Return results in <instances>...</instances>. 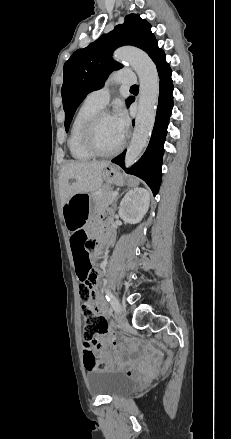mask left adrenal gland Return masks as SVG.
Masks as SVG:
<instances>
[{
    "label": "left adrenal gland",
    "instance_id": "obj_1",
    "mask_svg": "<svg viewBox=\"0 0 231 439\" xmlns=\"http://www.w3.org/2000/svg\"><path fill=\"white\" fill-rule=\"evenodd\" d=\"M123 193H121L120 195H118V197L116 198V201L122 196ZM114 208H116V203L114 204Z\"/></svg>",
    "mask_w": 231,
    "mask_h": 439
}]
</instances>
